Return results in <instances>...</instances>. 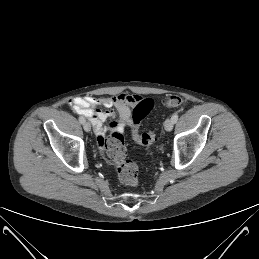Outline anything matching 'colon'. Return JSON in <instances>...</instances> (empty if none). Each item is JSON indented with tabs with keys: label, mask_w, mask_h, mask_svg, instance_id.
Returning <instances> with one entry per match:
<instances>
[{
	"label": "colon",
	"mask_w": 259,
	"mask_h": 259,
	"mask_svg": "<svg viewBox=\"0 0 259 259\" xmlns=\"http://www.w3.org/2000/svg\"><path fill=\"white\" fill-rule=\"evenodd\" d=\"M184 102V97L170 95L162 101V104L168 108H175ZM153 104L152 99H140L132 113V137L136 143L146 147L153 144L155 134L152 131L140 132L139 129L141 122L149 114ZM104 149L107 159L116 168L119 181L127 186H136L138 184V166L126 156L123 134L120 131H112L104 142Z\"/></svg>",
	"instance_id": "colon-1"
}]
</instances>
